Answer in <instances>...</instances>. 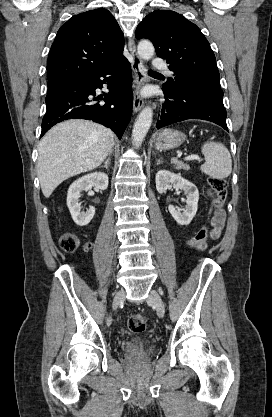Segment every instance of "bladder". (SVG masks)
<instances>
[{
  "label": "bladder",
  "instance_id": "1",
  "mask_svg": "<svg viewBox=\"0 0 272 417\" xmlns=\"http://www.w3.org/2000/svg\"><path fill=\"white\" fill-rule=\"evenodd\" d=\"M134 341L137 342L138 344L148 346V347H153L155 345L154 340L148 339V338H143V337H137V338L134 339Z\"/></svg>",
  "mask_w": 272,
  "mask_h": 417
}]
</instances>
